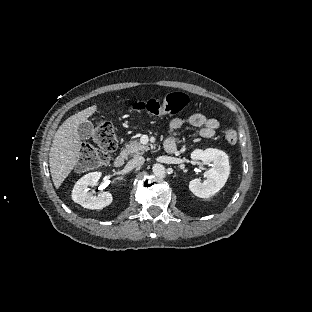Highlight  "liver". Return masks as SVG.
<instances>
[{
    "mask_svg": "<svg viewBox=\"0 0 312 312\" xmlns=\"http://www.w3.org/2000/svg\"><path fill=\"white\" fill-rule=\"evenodd\" d=\"M96 111V105L88 107L70 116L56 131L49 153L50 172L55 188L61 186L78 162L81 149L79 124L86 122Z\"/></svg>",
    "mask_w": 312,
    "mask_h": 312,
    "instance_id": "1",
    "label": "liver"
}]
</instances>
